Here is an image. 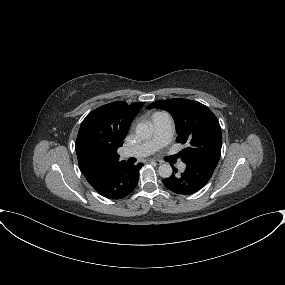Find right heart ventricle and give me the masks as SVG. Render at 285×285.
Returning <instances> with one entry per match:
<instances>
[{"mask_svg":"<svg viewBox=\"0 0 285 285\" xmlns=\"http://www.w3.org/2000/svg\"><path fill=\"white\" fill-rule=\"evenodd\" d=\"M159 114H161L160 112L154 113L152 116V119H154L156 116H158Z\"/></svg>","mask_w":285,"mask_h":285,"instance_id":"e07e8e85","label":"right heart ventricle"}]
</instances>
